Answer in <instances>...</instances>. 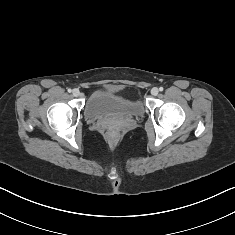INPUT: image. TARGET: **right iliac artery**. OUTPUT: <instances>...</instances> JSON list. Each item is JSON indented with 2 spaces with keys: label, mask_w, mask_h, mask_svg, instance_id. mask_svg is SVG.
Returning a JSON list of instances; mask_svg holds the SVG:
<instances>
[{
  "label": "right iliac artery",
  "mask_w": 235,
  "mask_h": 235,
  "mask_svg": "<svg viewBox=\"0 0 235 235\" xmlns=\"http://www.w3.org/2000/svg\"><path fill=\"white\" fill-rule=\"evenodd\" d=\"M69 93H71L72 92V90L69 88L68 90H67Z\"/></svg>",
  "instance_id": "right-iliac-artery-1"
}]
</instances>
